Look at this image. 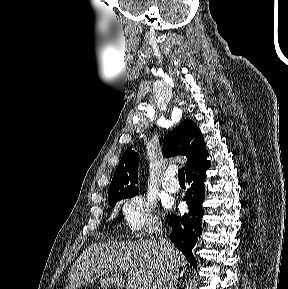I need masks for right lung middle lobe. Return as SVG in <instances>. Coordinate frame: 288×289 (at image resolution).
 Listing matches in <instances>:
<instances>
[{"label": "right lung middle lobe", "mask_w": 288, "mask_h": 289, "mask_svg": "<svg viewBox=\"0 0 288 289\" xmlns=\"http://www.w3.org/2000/svg\"><path fill=\"white\" fill-rule=\"evenodd\" d=\"M139 189H128L122 191H111L108 192V201L109 204L114 207L116 203L122 199L131 198L138 194Z\"/></svg>", "instance_id": "right-lung-middle-lobe-1"}]
</instances>
